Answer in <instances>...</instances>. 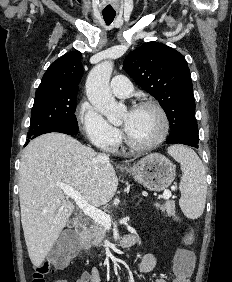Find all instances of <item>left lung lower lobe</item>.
Returning a JSON list of instances; mask_svg holds the SVG:
<instances>
[{"mask_svg":"<svg viewBox=\"0 0 232 282\" xmlns=\"http://www.w3.org/2000/svg\"><path fill=\"white\" fill-rule=\"evenodd\" d=\"M198 140L199 138H185L183 135L178 133L176 130H171L170 136L167 139V144H185L189 146H193L198 148Z\"/></svg>","mask_w":232,"mask_h":282,"instance_id":"left-lung-lower-lobe-1","label":"left lung lower lobe"}]
</instances>
